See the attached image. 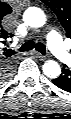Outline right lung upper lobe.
I'll list each match as a JSON object with an SVG mask.
<instances>
[{
    "label": "right lung upper lobe",
    "instance_id": "1",
    "mask_svg": "<svg viewBox=\"0 0 71 119\" xmlns=\"http://www.w3.org/2000/svg\"><path fill=\"white\" fill-rule=\"evenodd\" d=\"M10 10H11L10 6L6 5L4 7L3 15H6V14L10 13Z\"/></svg>",
    "mask_w": 71,
    "mask_h": 119
}]
</instances>
